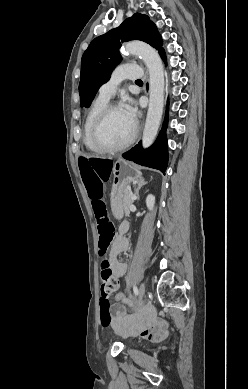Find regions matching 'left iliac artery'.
I'll use <instances>...</instances> for the list:
<instances>
[{"instance_id":"obj_1","label":"left iliac artery","mask_w":248,"mask_h":389,"mask_svg":"<svg viewBox=\"0 0 248 389\" xmlns=\"http://www.w3.org/2000/svg\"><path fill=\"white\" fill-rule=\"evenodd\" d=\"M133 292H134L135 295H138V289H137V287L135 285L133 287Z\"/></svg>"}]
</instances>
